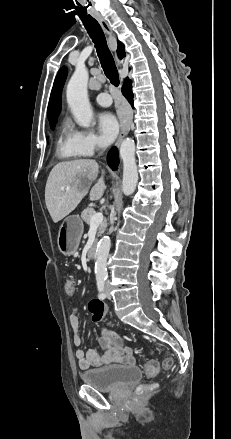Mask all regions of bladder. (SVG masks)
<instances>
[{"label": "bladder", "mask_w": 231, "mask_h": 439, "mask_svg": "<svg viewBox=\"0 0 231 439\" xmlns=\"http://www.w3.org/2000/svg\"><path fill=\"white\" fill-rule=\"evenodd\" d=\"M140 370L136 366L114 365L90 369L80 374L81 381L102 391H115L138 380Z\"/></svg>", "instance_id": "obj_1"}]
</instances>
